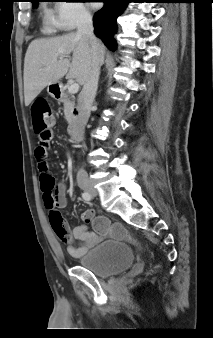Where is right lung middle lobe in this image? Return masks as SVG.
<instances>
[{"instance_id":"obj_1","label":"right lung middle lobe","mask_w":213,"mask_h":338,"mask_svg":"<svg viewBox=\"0 0 213 338\" xmlns=\"http://www.w3.org/2000/svg\"><path fill=\"white\" fill-rule=\"evenodd\" d=\"M38 2H39V0H32L33 6L36 7Z\"/></svg>"}]
</instances>
